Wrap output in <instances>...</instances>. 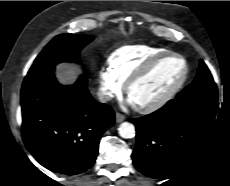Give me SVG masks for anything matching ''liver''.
<instances>
[{"mask_svg": "<svg viewBox=\"0 0 230 186\" xmlns=\"http://www.w3.org/2000/svg\"><path fill=\"white\" fill-rule=\"evenodd\" d=\"M59 75L65 80H71L73 78L72 70L69 67H62Z\"/></svg>", "mask_w": 230, "mask_h": 186, "instance_id": "6515ba94", "label": "liver"}]
</instances>
